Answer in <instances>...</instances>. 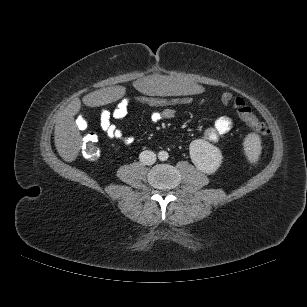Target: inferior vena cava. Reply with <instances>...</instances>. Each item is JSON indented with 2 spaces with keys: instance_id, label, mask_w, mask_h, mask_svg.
Masks as SVG:
<instances>
[{
  "instance_id": "obj_1",
  "label": "inferior vena cava",
  "mask_w": 307,
  "mask_h": 307,
  "mask_svg": "<svg viewBox=\"0 0 307 307\" xmlns=\"http://www.w3.org/2000/svg\"><path fill=\"white\" fill-rule=\"evenodd\" d=\"M139 160L145 165H152L156 162V154L150 150L142 151L139 155Z\"/></svg>"
}]
</instances>
